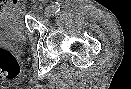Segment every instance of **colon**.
I'll use <instances>...</instances> for the list:
<instances>
[{
  "instance_id": "1",
  "label": "colon",
  "mask_w": 131,
  "mask_h": 89,
  "mask_svg": "<svg viewBox=\"0 0 131 89\" xmlns=\"http://www.w3.org/2000/svg\"><path fill=\"white\" fill-rule=\"evenodd\" d=\"M20 73V65L15 55L0 48V79H13Z\"/></svg>"
}]
</instances>
